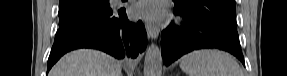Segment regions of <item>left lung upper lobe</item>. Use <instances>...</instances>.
<instances>
[{
	"mask_svg": "<svg viewBox=\"0 0 287 76\" xmlns=\"http://www.w3.org/2000/svg\"><path fill=\"white\" fill-rule=\"evenodd\" d=\"M176 8L202 15L223 28L237 32L235 0H173Z\"/></svg>",
	"mask_w": 287,
	"mask_h": 76,
	"instance_id": "5c2ea615",
	"label": "left lung upper lobe"
}]
</instances>
